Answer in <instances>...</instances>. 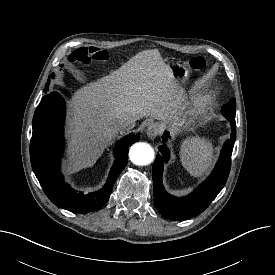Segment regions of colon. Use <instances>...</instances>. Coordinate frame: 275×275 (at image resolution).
Masks as SVG:
<instances>
[{"label":"colon","instance_id":"obj_1","mask_svg":"<svg viewBox=\"0 0 275 275\" xmlns=\"http://www.w3.org/2000/svg\"><path fill=\"white\" fill-rule=\"evenodd\" d=\"M111 59V55L98 48H80L74 51L70 57V62L90 64L93 62H106ZM206 66V61L201 57H195L191 60V67L196 70H202Z\"/></svg>","mask_w":275,"mask_h":275}]
</instances>
